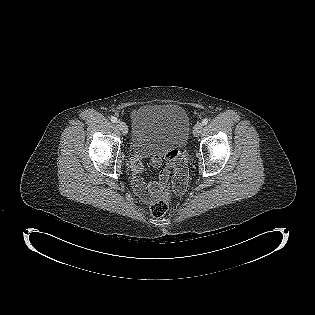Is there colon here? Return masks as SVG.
Returning <instances> with one entry per match:
<instances>
[{
    "instance_id": "colon-1",
    "label": "colon",
    "mask_w": 315,
    "mask_h": 315,
    "mask_svg": "<svg viewBox=\"0 0 315 315\" xmlns=\"http://www.w3.org/2000/svg\"><path fill=\"white\" fill-rule=\"evenodd\" d=\"M185 188L186 178L184 174H179L173 181L172 187L165 186L161 192V196L150 205V213L155 217L164 216L168 211V201L171 198L172 193H181Z\"/></svg>"
}]
</instances>
